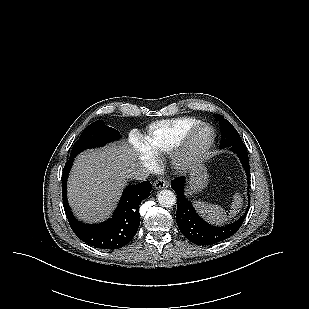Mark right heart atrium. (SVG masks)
Listing matches in <instances>:
<instances>
[{
    "label": "right heart atrium",
    "mask_w": 309,
    "mask_h": 309,
    "mask_svg": "<svg viewBox=\"0 0 309 309\" xmlns=\"http://www.w3.org/2000/svg\"><path fill=\"white\" fill-rule=\"evenodd\" d=\"M141 150H142V154L140 156V160L142 164L147 170L152 171L155 167L154 157L151 154H149L146 150H144L143 148Z\"/></svg>",
    "instance_id": "right-heart-atrium-1"
}]
</instances>
